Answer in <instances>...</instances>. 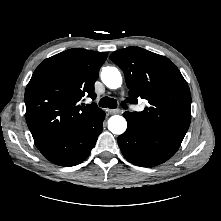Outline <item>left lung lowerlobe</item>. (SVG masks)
Listing matches in <instances>:
<instances>
[{
    "instance_id": "1",
    "label": "left lung lower lobe",
    "mask_w": 221,
    "mask_h": 221,
    "mask_svg": "<svg viewBox=\"0 0 221 221\" xmlns=\"http://www.w3.org/2000/svg\"><path fill=\"white\" fill-rule=\"evenodd\" d=\"M124 117L128 127L117 140L124 157L131 163L143 167L156 166L171 158L178 150L151 139L130 119L125 115Z\"/></svg>"
}]
</instances>
